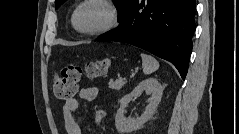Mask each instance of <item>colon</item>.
<instances>
[{"mask_svg":"<svg viewBox=\"0 0 239 134\" xmlns=\"http://www.w3.org/2000/svg\"><path fill=\"white\" fill-rule=\"evenodd\" d=\"M109 67V60L103 59L87 64L84 68L76 65L65 66L59 74L53 79V91L57 98L63 100L72 99L78 89V84L83 73L90 79H96L106 75ZM103 118V112L96 114V121L100 123Z\"/></svg>","mask_w":239,"mask_h":134,"instance_id":"obj_1","label":"colon"}]
</instances>
